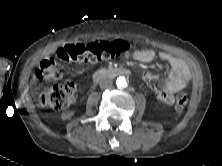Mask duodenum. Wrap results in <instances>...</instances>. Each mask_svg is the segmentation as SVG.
<instances>
[{
  "mask_svg": "<svg viewBox=\"0 0 222 166\" xmlns=\"http://www.w3.org/2000/svg\"><path fill=\"white\" fill-rule=\"evenodd\" d=\"M129 70L124 67H114V68H107L101 69L94 73L93 80L95 82L109 76H118V75H128Z\"/></svg>",
  "mask_w": 222,
  "mask_h": 166,
  "instance_id": "410a0bca",
  "label": "duodenum"
}]
</instances>
